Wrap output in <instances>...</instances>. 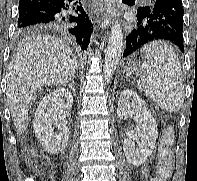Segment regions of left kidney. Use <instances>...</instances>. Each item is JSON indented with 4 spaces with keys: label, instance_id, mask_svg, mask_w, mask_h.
Masks as SVG:
<instances>
[{
    "label": "left kidney",
    "instance_id": "1",
    "mask_svg": "<svg viewBox=\"0 0 197 181\" xmlns=\"http://www.w3.org/2000/svg\"><path fill=\"white\" fill-rule=\"evenodd\" d=\"M117 115L124 120L134 116L136 134L124 140L123 150L129 163L134 166L142 165L152 154L158 138L156 121L145 102L132 89L121 93ZM135 142L138 147H135Z\"/></svg>",
    "mask_w": 197,
    "mask_h": 181
}]
</instances>
